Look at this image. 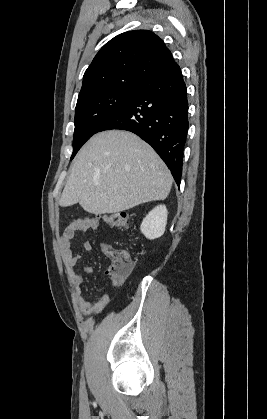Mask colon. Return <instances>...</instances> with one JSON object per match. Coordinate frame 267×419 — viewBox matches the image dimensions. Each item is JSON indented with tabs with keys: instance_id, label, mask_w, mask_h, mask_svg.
I'll return each instance as SVG.
<instances>
[{
	"instance_id": "colon-1",
	"label": "colon",
	"mask_w": 267,
	"mask_h": 419,
	"mask_svg": "<svg viewBox=\"0 0 267 419\" xmlns=\"http://www.w3.org/2000/svg\"><path fill=\"white\" fill-rule=\"evenodd\" d=\"M110 227L128 228L129 217L126 213H107L96 218ZM134 257L126 250H115L111 255V263L107 270L110 276L126 277L134 267Z\"/></svg>"
}]
</instances>
